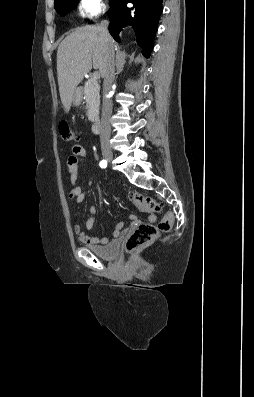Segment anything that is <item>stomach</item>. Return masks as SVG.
Instances as JSON below:
<instances>
[{"instance_id":"obj_1","label":"stomach","mask_w":254,"mask_h":397,"mask_svg":"<svg viewBox=\"0 0 254 397\" xmlns=\"http://www.w3.org/2000/svg\"><path fill=\"white\" fill-rule=\"evenodd\" d=\"M82 89L79 87H76V89L73 92V104L78 106L82 102Z\"/></svg>"}]
</instances>
